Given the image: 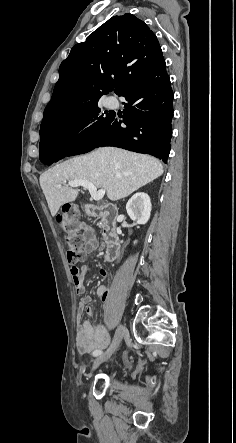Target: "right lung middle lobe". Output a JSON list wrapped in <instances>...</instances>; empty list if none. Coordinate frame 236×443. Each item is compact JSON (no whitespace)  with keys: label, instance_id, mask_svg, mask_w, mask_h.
<instances>
[{"label":"right lung middle lobe","instance_id":"1","mask_svg":"<svg viewBox=\"0 0 236 443\" xmlns=\"http://www.w3.org/2000/svg\"><path fill=\"white\" fill-rule=\"evenodd\" d=\"M98 100L99 98L79 108L43 120L40 127V148L71 145L103 123L112 111L102 113L97 105Z\"/></svg>","mask_w":236,"mask_h":443}]
</instances>
